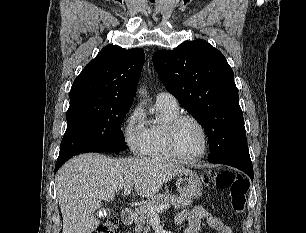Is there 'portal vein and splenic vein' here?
Listing matches in <instances>:
<instances>
[{
    "label": "portal vein and splenic vein",
    "mask_w": 306,
    "mask_h": 233,
    "mask_svg": "<svg viewBox=\"0 0 306 233\" xmlns=\"http://www.w3.org/2000/svg\"><path fill=\"white\" fill-rule=\"evenodd\" d=\"M131 193V186L127 185L124 187V195H128ZM170 208V204H162L159 206H155V207H148V212L152 215V216H157L160 212L164 211V210H168Z\"/></svg>",
    "instance_id": "18ae733b"
}]
</instances>
